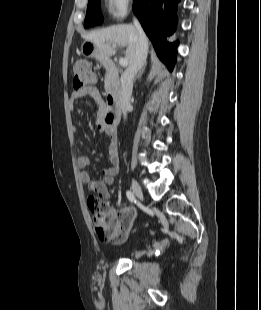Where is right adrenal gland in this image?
Segmentation results:
<instances>
[{"instance_id":"right-adrenal-gland-1","label":"right adrenal gland","mask_w":261,"mask_h":310,"mask_svg":"<svg viewBox=\"0 0 261 310\" xmlns=\"http://www.w3.org/2000/svg\"><path fill=\"white\" fill-rule=\"evenodd\" d=\"M147 63H145L144 67L138 72V74L135 77V80L140 79L145 71Z\"/></svg>"}]
</instances>
